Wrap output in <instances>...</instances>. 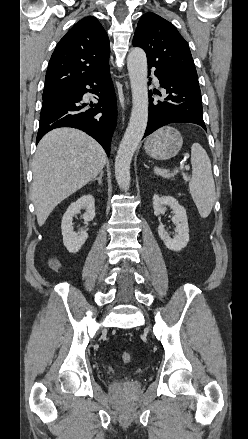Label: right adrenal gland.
<instances>
[{
  "mask_svg": "<svg viewBox=\"0 0 248 439\" xmlns=\"http://www.w3.org/2000/svg\"><path fill=\"white\" fill-rule=\"evenodd\" d=\"M103 174H104V171L102 170V171L100 172V174H99V177L94 178L93 181L97 180L98 183H99V185H101V184H102Z\"/></svg>",
  "mask_w": 248,
  "mask_h": 439,
  "instance_id": "2a0ac1e0",
  "label": "right adrenal gland"
}]
</instances>
